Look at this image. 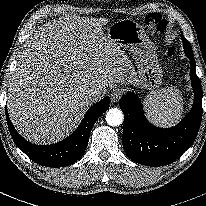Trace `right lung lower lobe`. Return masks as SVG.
Masks as SVG:
<instances>
[{"instance_id":"obj_1","label":"right lung lower lobe","mask_w":206,"mask_h":206,"mask_svg":"<svg viewBox=\"0 0 206 206\" xmlns=\"http://www.w3.org/2000/svg\"><path fill=\"white\" fill-rule=\"evenodd\" d=\"M109 103L110 99L106 96L87 111L78 128L69 137L51 145H36L25 140L13 127L7 110L5 113L16 146L37 164L58 168L71 165L82 157L90 132L97 119L108 109Z\"/></svg>"}]
</instances>
